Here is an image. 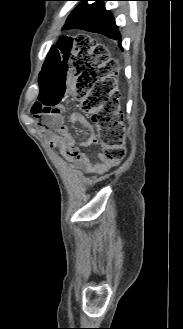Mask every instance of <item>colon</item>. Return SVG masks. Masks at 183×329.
Returning a JSON list of instances; mask_svg holds the SVG:
<instances>
[{
	"label": "colon",
	"instance_id": "obj_1",
	"mask_svg": "<svg viewBox=\"0 0 183 329\" xmlns=\"http://www.w3.org/2000/svg\"><path fill=\"white\" fill-rule=\"evenodd\" d=\"M91 44H96V37L78 35L76 37H58L56 51L41 55V73L39 82L41 94L33 107V114L43 119H57L63 109L76 107L87 113L97 127V138L103 147V158L108 164L122 160L126 153L125 127L118 100L110 95L113 84L100 79L101 62H115V55H102L101 48H96L89 55ZM101 61V62H100ZM75 74H66L73 73ZM108 71L107 67L103 68ZM112 73H119V66L111 67ZM46 130L56 131V126L43 125Z\"/></svg>",
	"mask_w": 183,
	"mask_h": 329
}]
</instances>
